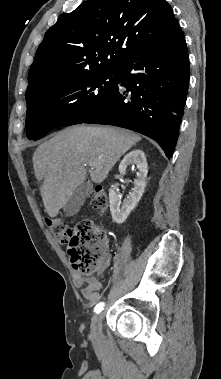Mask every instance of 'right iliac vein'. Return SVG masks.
<instances>
[{"instance_id":"1","label":"right iliac vein","mask_w":221,"mask_h":379,"mask_svg":"<svg viewBox=\"0 0 221 379\" xmlns=\"http://www.w3.org/2000/svg\"><path fill=\"white\" fill-rule=\"evenodd\" d=\"M102 314L95 315L92 318L91 333L94 338H97L101 330Z\"/></svg>"}]
</instances>
